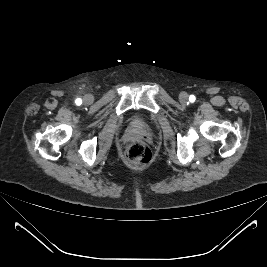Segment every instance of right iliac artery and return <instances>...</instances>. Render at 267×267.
Listing matches in <instances>:
<instances>
[{"instance_id": "82829eb1", "label": "right iliac artery", "mask_w": 267, "mask_h": 267, "mask_svg": "<svg viewBox=\"0 0 267 267\" xmlns=\"http://www.w3.org/2000/svg\"><path fill=\"white\" fill-rule=\"evenodd\" d=\"M75 102H76L77 105H80L82 103V100L80 98H78V99H76Z\"/></svg>"}]
</instances>
